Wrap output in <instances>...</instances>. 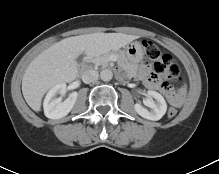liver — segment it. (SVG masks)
<instances>
[{
    "mask_svg": "<svg viewBox=\"0 0 219 174\" xmlns=\"http://www.w3.org/2000/svg\"><path fill=\"white\" fill-rule=\"evenodd\" d=\"M138 36L123 33H92L65 38L40 53L27 67L22 93L35 112L41 110L45 93L55 85L69 83L78 75L76 59L85 54L96 57L118 50Z\"/></svg>",
    "mask_w": 219,
    "mask_h": 174,
    "instance_id": "obj_1",
    "label": "liver"
}]
</instances>
